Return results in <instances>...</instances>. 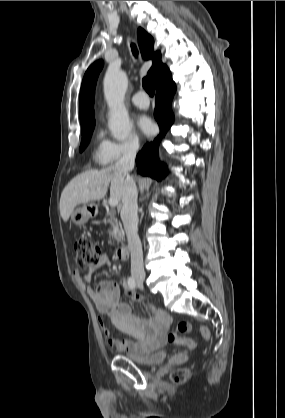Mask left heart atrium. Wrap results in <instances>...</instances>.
I'll return each mask as SVG.
<instances>
[{"instance_id":"obj_1","label":"left heart atrium","mask_w":285,"mask_h":418,"mask_svg":"<svg viewBox=\"0 0 285 418\" xmlns=\"http://www.w3.org/2000/svg\"><path fill=\"white\" fill-rule=\"evenodd\" d=\"M137 124H138L139 129L145 135L152 134L155 129V126L152 120L148 116H145V115H141L138 117Z\"/></svg>"}]
</instances>
